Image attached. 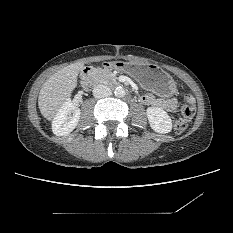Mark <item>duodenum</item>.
<instances>
[{
    "instance_id": "duodenum-1",
    "label": "duodenum",
    "mask_w": 233,
    "mask_h": 233,
    "mask_svg": "<svg viewBox=\"0 0 233 233\" xmlns=\"http://www.w3.org/2000/svg\"><path fill=\"white\" fill-rule=\"evenodd\" d=\"M115 64L113 62H105L103 67L112 68ZM94 72V68H86L81 74V83L83 86L89 88L92 86V74Z\"/></svg>"
}]
</instances>
